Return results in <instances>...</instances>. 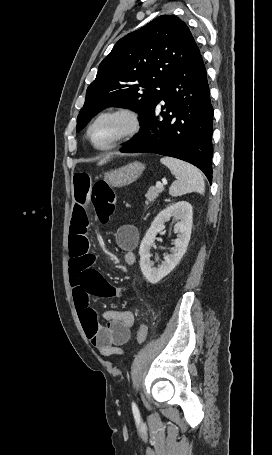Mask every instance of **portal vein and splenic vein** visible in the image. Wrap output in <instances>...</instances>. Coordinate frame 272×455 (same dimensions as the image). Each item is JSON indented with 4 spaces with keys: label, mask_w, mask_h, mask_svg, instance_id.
Masks as SVG:
<instances>
[{
    "label": "portal vein and splenic vein",
    "mask_w": 272,
    "mask_h": 455,
    "mask_svg": "<svg viewBox=\"0 0 272 455\" xmlns=\"http://www.w3.org/2000/svg\"><path fill=\"white\" fill-rule=\"evenodd\" d=\"M156 187H157V188H163V184L160 183V182H158V183H156Z\"/></svg>",
    "instance_id": "portal-vein-and-splenic-vein-1"
}]
</instances>
